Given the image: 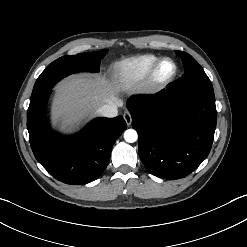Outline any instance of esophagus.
I'll return each instance as SVG.
<instances>
[{"instance_id":"obj_1","label":"esophagus","mask_w":247,"mask_h":247,"mask_svg":"<svg viewBox=\"0 0 247 247\" xmlns=\"http://www.w3.org/2000/svg\"><path fill=\"white\" fill-rule=\"evenodd\" d=\"M124 120L126 122V124L129 126L132 122V116H131V113L129 111H125L124 115Z\"/></svg>"}]
</instances>
